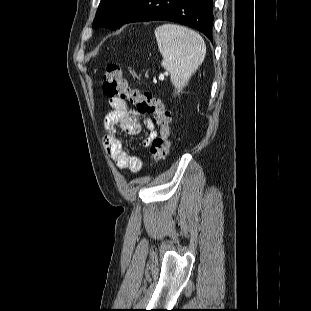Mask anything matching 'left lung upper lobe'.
I'll list each match as a JSON object with an SVG mask.
<instances>
[{"label": "left lung upper lobe", "instance_id": "1", "mask_svg": "<svg viewBox=\"0 0 311 311\" xmlns=\"http://www.w3.org/2000/svg\"><path fill=\"white\" fill-rule=\"evenodd\" d=\"M133 0H101L97 10L93 28L104 26L115 30L127 7Z\"/></svg>", "mask_w": 311, "mask_h": 311}]
</instances>
